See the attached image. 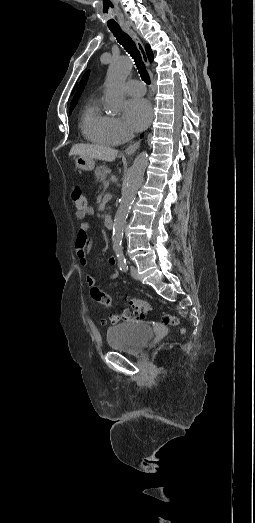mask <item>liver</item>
I'll return each mask as SVG.
<instances>
[{
	"mask_svg": "<svg viewBox=\"0 0 255 523\" xmlns=\"http://www.w3.org/2000/svg\"><path fill=\"white\" fill-rule=\"evenodd\" d=\"M118 152L105 146H94V144H75L69 152V156H83L92 160H104V162H114Z\"/></svg>",
	"mask_w": 255,
	"mask_h": 523,
	"instance_id": "liver-1",
	"label": "liver"
}]
</instances>
